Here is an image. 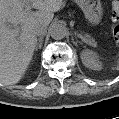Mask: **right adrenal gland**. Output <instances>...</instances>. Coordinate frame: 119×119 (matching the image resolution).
<instances>
[{
  "instance_id": "2a0ac1e0",
  "label": "right adrenal gland",
  "mask_w": 119,
  "mask_h": 119,
  "mask_svg": "<svg viewBox=\"0 0 119 119\" xmlns=\"http://www.w3.org/2000/svg\"><path fill=\"white\" fill-rule=\"evenodd\" d=\"M42 45H43V36H40L39 39H38L36 50L41 49Z\"/></svg>"
}]
</instances>
